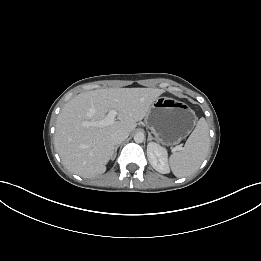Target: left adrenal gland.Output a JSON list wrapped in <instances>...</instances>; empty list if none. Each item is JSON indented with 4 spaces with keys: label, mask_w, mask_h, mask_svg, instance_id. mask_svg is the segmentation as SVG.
<instances>
[{
    "label": "left adrenal gland",
    "mask_w": 261,
    "mask_h": 261,
    "mask_svg": "<svg viewBox=\"0 0 261 261\" xmlns=\"http://www.w3.org/2000/svg\"><path fill=\"white\" fill-rule=\"evenodd\" d=\"M152 139H153V137L151 136L150 133H148V141H150V140H152Z\"/></svg>",
    "instance_id": "obj_1"
}]
</instances>
